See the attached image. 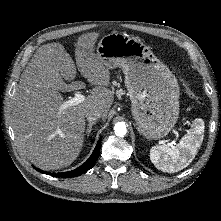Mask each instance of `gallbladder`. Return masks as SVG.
Here are the masks:
<instances>
[{
  "label": "gallbladder",
  "mask_w": 221,
  "mask_h": 221,
  "mask_svg": "<svg viewBox=\"0 0 221 221\" xmlns=\"http://www.w3.org/2000/svg\"><path fill=\"white\" fill-rule=\"evenodd\" d=\"M65 88H66V85L63 84V83H60V82H59V83L56 85V89H57V90L63 91V90H65Z\"/></svg>",
  "instance_id": "obj_1"
}]
</instances>
